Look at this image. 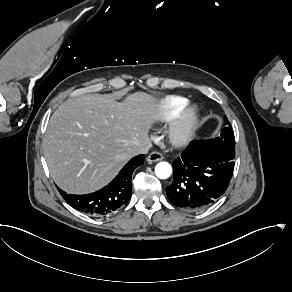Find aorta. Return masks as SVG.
Instances as JSON below:
<instances>
[{
    "label": "aorta",
    "instance_id": "762f6f07",
    "mask_svg": "<svg viewBox=\"0 0 292 292\" xmlns=\"http://www.w3.org/2000/svg\"><path fill=\"white\" fill-rule=\"evenodd\" d=\"M172 173L171 165L167 162H160L155 167V174L160 179L168 178Z\"/></svg>",
    "mask_w": 292,
    "mask_h": 292
}]
</instances>
